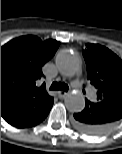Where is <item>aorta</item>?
<instances>
[{
  "label": "aorta",
  "instance_id": "obj_1",
  "mask_svg": "<svg viewBox=\"0 0 122 154\" xmlns=\"http://www.w3.org/2000/svg\"><path fill=\"white\" fill-rule=\"evenodd\" d=\"M55 63L59 72L68 78L75 76L80 69L79 59L71 50H61ZM65 106L70 112H81L85 107L84 96L80 93H69L65 97Z\"/></svg>",
  "mask_w": 122,
  "mask_h": 154
}]
</instances>
